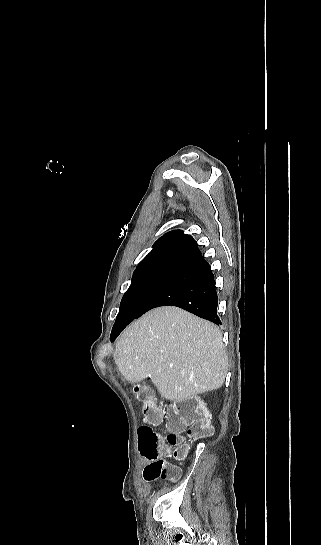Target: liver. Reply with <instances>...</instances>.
Segmentation results:
<instances>
[{"label": "liver", "instance_id": "1", "mask_svg": "<svg viewBox=\"0 0 321 545\" xmlns=\"http://www.w3.org/2000/svg\"><path fill=\"white\" fill-rule=\"evenodd\" d=\"M114 361L129 383L150 377L175 403L220 389L228 371L218 327L178 307H158L131 323L116 341Z\"/></svg>", "mask_w": 321, "mask_h": 545}]
</instances>
